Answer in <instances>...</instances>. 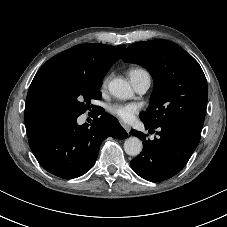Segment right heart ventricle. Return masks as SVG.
<instances>
[{
    "label": "right heart ventricle",
    "mask_w": 227,
    "mask_h": 227,
    "mask_svg": "<svg viewBox=\"0 0 227 227\" xmlns=\"http://www.w3.org/2000/svg\"><path fill=\"white\" fill-rule=\"evenodd\" d=\"M144 73H148L146 70L142 69V68H132L129 71L130 77H134L140 74H144Z\"/></svg>",
    "instance_id": "obj_1"
}]
</instances>
